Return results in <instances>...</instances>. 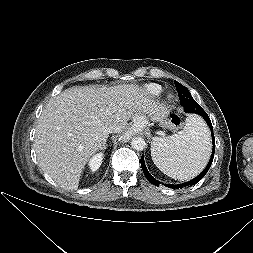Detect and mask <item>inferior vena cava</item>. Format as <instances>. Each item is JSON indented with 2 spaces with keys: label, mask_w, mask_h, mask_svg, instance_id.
<instances>
[{
  "label": "inferior vena cava",
  "mask_w": 253,
  "mask_h": 253,
  "mask_svg": "<svg viewBox=\"0 0 253 253\" xmlns=\"http://www.w3.org/2000/svg\"><path fill=\"white\" fill-rule=\"evenodd\" d=\"M120 131V129L117 127V128H108L106 130V133L109 134V133H113V132H118Z\"/></svg>",
  "instance_id": "602c4592"
}]
</instances>
